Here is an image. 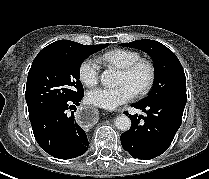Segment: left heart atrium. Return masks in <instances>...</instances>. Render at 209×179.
I'll return each instance as SVG.
<instances>
[{"instance_id": "39dd6f15", "label": "left heart atrium", "mask_w": 209, "mask_h": 179, "mask_svg": "<svg viewBox=\"0 0 209 179\" xmlns=\"http://www.w3.org/2000/svg\"><path fill=\"white\" fill-rule=\"evenodd\" d=\"M136 95V91L127 83L114 88H97L87 94L89 103L108 110L130 101Z\"/></svg>"}]
</instances>
